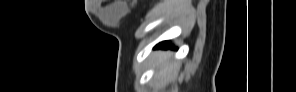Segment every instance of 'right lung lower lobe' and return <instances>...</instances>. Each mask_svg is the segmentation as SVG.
I'll use <instances>...</instances> for the list:
<instances>
[{"mask_svg":"<svg viewBox=\"0 0 296 92\" xmlns=\"http://www.w3.org/2000/svg\"><path fill=\"white\" fill-rule=\"evenodd\" d=\"M157 48H168L171 47L170 42L169 41H164L159 43L157 46Z\"/></svg>","mask_w":296,"mask_h":92,"instance_id":"right-lung-lower-lobe-1","label":"right lung lower lobe"}]
</instances>
